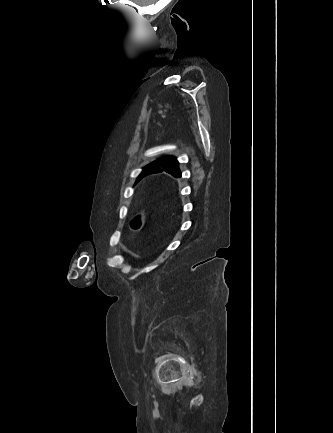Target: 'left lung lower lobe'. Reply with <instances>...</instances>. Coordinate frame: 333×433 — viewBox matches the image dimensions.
<instances>
[{"label":"left lung lower lobe","instance_id":"left-lung-lower-lobe-1","mask_svg":"<svg viewBox=\"0 0 333 433\" xmlns=\"http://www.w3.org/2000/svg\"><path fill=\"white\" fill-rule=\"evenodd\" d=\"M146 171V170H145ZM145 171L142 173V174H140V176H139V178H138V180H140L142 177H144V176H146L147 174L145 173ZM149 171H151V170H149Z\"/></svg>","mask_w":333,"mask_h":433}]
</instances>
